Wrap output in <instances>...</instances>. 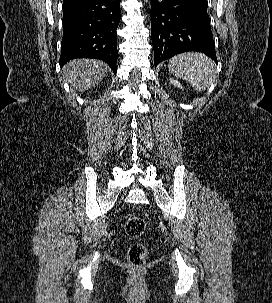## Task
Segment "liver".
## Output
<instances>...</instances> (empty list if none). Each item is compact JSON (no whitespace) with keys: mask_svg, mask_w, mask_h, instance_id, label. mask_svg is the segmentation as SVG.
<instances>
[{"mask_svg":"<svg viewBox=\"0 0 272 303\" xmlns=\"http://www.w3.org/2000/svg\"><path fill=\"white\" fill-rule=\"evenodd\" d=\"M106 63L95 59H75L63 68L64 78L74 89L86 91L98 84L106 75Z\"/></svg>","mask_w":272,"mask_h":303,"instance_id":"1","label":"liver"}]
</instances>
